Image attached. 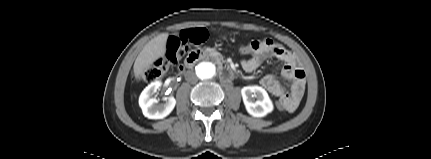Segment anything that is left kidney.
Wrapping results in <instances>:
<instances>
[{
	"label": "left kidney",
	"mask_w": 431,
	"mask_h": 159,
	"mask_svg": "<svg viewBox=\"0 0 431 159\" xmlns=\"http://www.w3.org/2000/svg\"><path fill=\"white\" fill-rule=\"evenodd\" d=\"M241 95L247 112L253 117L261 118L273 111V103L262 87L257 85L243 87Z\"/></svg>",
	"instance_id": "5707ae66"
}]
</instances>
